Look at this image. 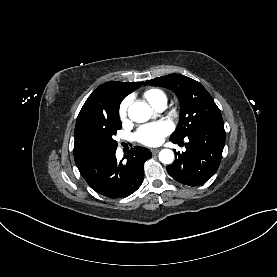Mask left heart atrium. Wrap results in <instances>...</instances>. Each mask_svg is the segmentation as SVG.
Here are the masks:
<instances>
[{
	"mask_svg": "<svg viewBox=\"0 0 277 277\" xmlns=\"http://www.w3.org/2000/svg\"><path fill=\"white\" fill-rule=\"evenodd\" d=\"M172 131V126L167 121H158L142 126L136 133V139L147 146L159 145L164 137Z\"/></svg>",
	"mask_w": 277,
	"mask_h": 277,
	"instance_id": "left-heart-atrium-1",
	"label": "left heart atrium"
}]
</instances>
